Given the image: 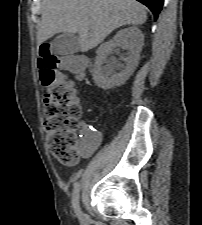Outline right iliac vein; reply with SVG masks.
<instances>
[{"instance_id":"obj_1","label":"right iliac vein","mask_w":202,"mask_h":225,"mask_svg":"<svg viewBox=\"0 0 202 225\" xmlns=\"http://www.w3.org/2000/svg\"><path fill=\"white\" fill-rule=\"evenodd\" d=\"M79 218H80L81 221H85L86 220V216H85V214L82 211H80Z\"/></svg>"}]
</instances>
